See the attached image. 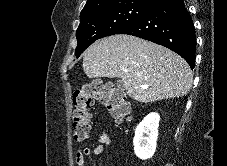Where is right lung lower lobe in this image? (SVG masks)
Returning a JSON list of instances; mask_svg holds the SVG:
<instances>
[{"label":"right lung lower lobe","mask_w":227,"mask_h":166,"mask_svg":"<svg viewBox=\"0 0 227 166\" xmlns=\"http://www.w3.org/2000/svg\"><path fill=\"white\" fill-rule=\"evenodd\" d=\"M118 34H128L165 46L195 65V29L183 0H161L142 18Z\"/></svg>","instance_id":"obj_1"}]
</instances>
